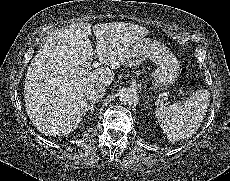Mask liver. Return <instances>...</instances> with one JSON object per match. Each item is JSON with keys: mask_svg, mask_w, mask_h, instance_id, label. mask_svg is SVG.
Masks as SVG:
<instances>
[{"mask_svg": "<svg viewBox=\"0 0 230 181\" xmlns=\"http://www.w3.org/2000/svg\"><path fill=\"white\" fill-rule=\"evenodd\" d=\"M104 23L92 27L96 56L108 67H93L91 25L78 23L50 37L34 57L25 80L27 114L39 131L67 134L87 111L85 93L93 86H109L113 69L124 63L128 47L148 31L135 25Z\"/></svg>", "mask_w": 230, "mask_h": 181, "instance_id": "liver-1", "label": "liver"}]
</instances>
